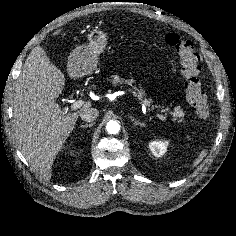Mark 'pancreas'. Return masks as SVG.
I'll return each instance as SVG.
<instances>
[{
  "instance_id": "pancreas-1",
  "label": "pancreas",
  "mask_w": 236,
  "mask_h": 236,
  "mask_svg": "<svg viewBox=\"0 0 236 236\" xmlns=\"http://www.w3.org/2000/svg\"><path fill=\"white\" fill-rule=\"evenodd\" d=\"M107 81L110 82V83H112L113 85H117V84H121V85H122V84H127V85H129V86H132V82H133L132 80H125V79H123V78H120V77L117 76V75H113V76H111L110 78H107ZM133 89H134L135 91H137V94L135 93V95H137L139 99H141L142 96L145 94V93H144V90H143L142 88L138 89L136 86H133ZM148 103H150V102H148ZM164 110L168 111L169 109L166 108V109H164ZM170 113H171L174 117L179 118V122H184L183 117H184L185 113L183 112V110H182L180 107H176V108L174 109V111H172V112H170Z\"/></svg>"
}]
</instances>
